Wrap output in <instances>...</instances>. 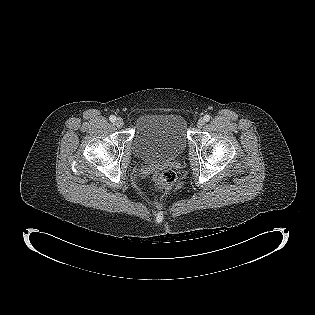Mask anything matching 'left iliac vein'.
Returning a JSON list of instances; mask_svg holds the SVG:
<instances>
[{
  "instance_id": "obj_1",
  "label": "left iliac vein",
  "mask_w": 315,
  "mask_h": 315,
  "mask_svg": "<svg viewBox=\"0 0 315 315\" xmlns=\"http://www.w3.org/2000/svg\"><path fill=\"white\" fill-rule=\"evenodd\" d=\"M205 125V120L203 118H200L197 122L198 128H202Z\"/></svg>"
}]
</instances>
